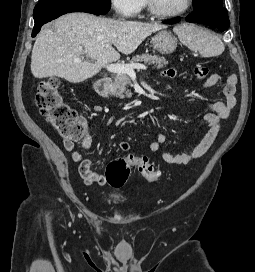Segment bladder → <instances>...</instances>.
<instances>
[{"mask_svg":"<svg viewBox=\"0 0 255 272\" xmlns=\"http://www.w3.org/2000/svg\"><path fill=\"white\" fill-rule=\"evenodd\" d=\"M106 200L108 201H116L119 200L121 198V193L120 192H109L106 194L105 196Z\"/></svg>","mask_w":255,"mask_h":272,"instance_id":"obj_1","label":"bladder"}]
</instances>
